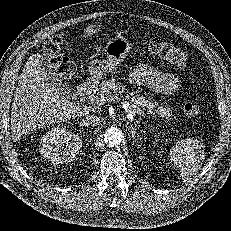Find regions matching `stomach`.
Wrapping results in <instances>:
<instances>
[{
  "label": "stomach",
  "instance_id": "obj_1",
  "mask_svg": "<svg viewBox=\"0 0 231 231\" xmlns=\"http://www.w3.org/2000/svg\"><path fill=\"white\" fill-rule=\"evenodd\" d=\"M130 49L131 43L126 37L116 36L110 39L104 47L107 59H95L90 63L88 67L90 79L98 82L107 73H115Z\"/></svg>",
  "mask_w": 231,
  "mask_h": 231
}]
</instances>
